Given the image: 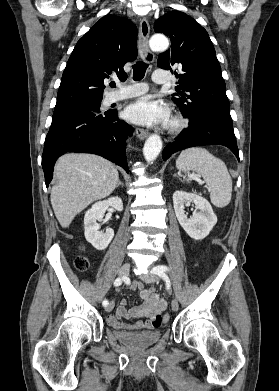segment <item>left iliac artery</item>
<instances>
[{
    "label": "left iliac artery",
    "instance_id": "44dca946",
    "mask_svg": "<svg viewBox=\"0 0 279 391\" xmlns=\"http://www.w3.org/2000/svg\"><path fill=\"white\" fill-rule=\"evenodd\" d=\"M169 270V268L165 265H159L153 268L152 272L163 279H168L166 272Z\"/></svg>",
    "mask_w": 279,
    "mask_h": 391
}]
</instances>
